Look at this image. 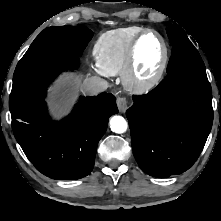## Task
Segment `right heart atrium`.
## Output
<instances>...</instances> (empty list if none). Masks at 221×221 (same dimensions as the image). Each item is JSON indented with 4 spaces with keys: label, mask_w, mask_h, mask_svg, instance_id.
<instances>
[{
    "label": "right heart atrium",
    "mask_w": 221,
    "mask_h": 221,
    "mask_svg": "<svg viewBox=\"0 0 221 221\" xmlns=\"http://www.w3.org/2000/svg\"><path fill=\"white\" fill-rule=\"evenodd\" d=\"M95 72H97L98 74H105L98 66L94 67Z\"/></svg>",
    "instance_id": "right-heart-atrium-1"
}]
</instances>
